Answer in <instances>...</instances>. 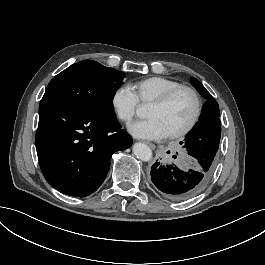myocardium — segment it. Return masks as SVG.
Wrapping results in <instances>:
<instances>
[{"label":"myocardium","mask_w":265,"mask_h":265,"mask_svg":"<svg viewBox=\"0 0 265 265\" xmlns=\"http://www.w3.org/2000/svg\"><path fill=\"white\" fill-rule=\"evenodd\" d=\"M181 93H187L189 94L194 102V112L192 115V118L190 122L181 130L174 132V133H169L166 135V138L168 139H178L186 136L189 134L196 124L198 123L201 114H202V103L200 96L198 92L193 89L192 87L189 86H180L177 87L169 92H167L165 95L161 96L159 99L156 101L152 102L149 104V106L155 107V108H163L165 107L173 98H175L177 95Z\"/></svg>","instance_id":"f54148a6"}]
</instances>
